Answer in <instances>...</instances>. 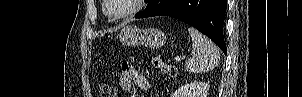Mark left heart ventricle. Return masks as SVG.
<instances>
[{"mask_svg":"<svg viewBox=\"0 0 302 97\" xmlns=\"http://www.w3.org/2000/svg\"><path fill=\"white\" fill-rule=\"evenodd\" d=\"M133 7V0H109V9L115 15L123 14Z\"/></svg>","mask_w":302,"mask_h":97,"instance_id":"left-heart-ventricle-1","label":"left heart ventricle"}]
</instances>
